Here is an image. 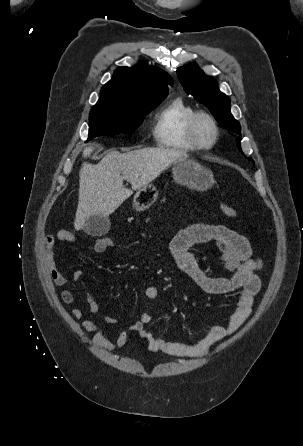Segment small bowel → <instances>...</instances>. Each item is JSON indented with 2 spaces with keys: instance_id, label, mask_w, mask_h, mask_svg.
Listing matches in <instances>:
<instances>
[{
  "instance_id": "c3829d8e",
  "label": "small bowel",
  "mask_w": 303,
  "mask_h": 446,
  "mask_svg": "<svg viewBox=\"0 0 303 446\" xmlns=\"http://www.w3.org/2000/svg\"><path fill=\"white\" fill-rule=\"evenodd\" d=\"M58 241L75 243L77 238L72 231L61 229L55 235H46L43 240L48 274L56 286L62 287L68 283V278L58 270L55 264L54 248ZM104 241V237L94 241L92 248L95 253L103 254L111 248L123 252L119 244L112 242L107 248ZM208 242H215L219 247L222 264L230 276H211L200 267L192 249L196 245ZM170 250L180 270L203 292L213 295L235 293L236 301L232 312L223 321L213 324L206 335L195 343L165 340L148 333L146 326L153 319L150 312H144L130 326L129 331L142 338L151 351L177 357L203 356L215 343L235 333L249 317L254 297L261 285L257 275V271L261 268V262L253 258L252 248L246 237L220 224L194 223L181 229L173 236ZM73 281L84 289L89 311L98 313L99 305L86 282L84 273L80 270L75 271ZM159 294L160 291L156 285H150L144 291L145 297L150 301L155 300ZM60 296L66 305L74 303L75 297L71 290L64 289ZM71 315L75 319H81L84 312L80 308H73ZM105 320L111 325L117 323V319L111 315H107ZM81 328L85 332H94L95 343L104 349L121 348L128 341L129 333L126 331L118 333L112 339L106 338L92 320H84L81 323Z\"/></svg>"
}]
</instances>
